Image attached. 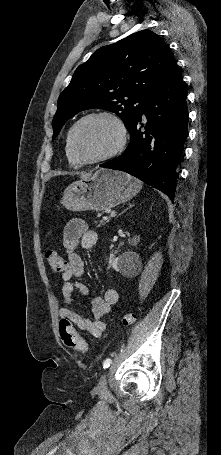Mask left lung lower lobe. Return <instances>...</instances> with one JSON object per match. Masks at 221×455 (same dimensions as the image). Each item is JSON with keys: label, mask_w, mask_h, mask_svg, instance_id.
<instances>
[{"label": "left lung lower lobe", "mask_w": 221, "mask_h": 455, "mask_svg": "<svg viewBox=\"0 0 221 455\" xmlns=\"http://www.w3.org/2000/svg\"><path fill=\"white\" fill-rule=\"evenodd\" d=\"M142 116L146 118L145 124L141 122ZM187 122L186 89L175 63L147 97L129 132V146L119 157L100 167L127 172L172 200L188 134Z\"/></svg>", "instance_id": "obj_1"}]
</instances>
